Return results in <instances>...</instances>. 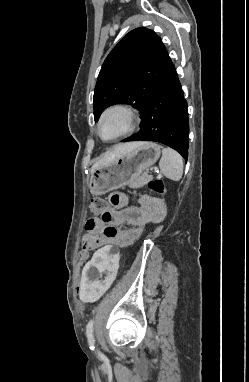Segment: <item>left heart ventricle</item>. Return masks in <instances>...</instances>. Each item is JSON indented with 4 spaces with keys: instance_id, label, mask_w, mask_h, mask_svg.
<instances>
[{
    "instance_id": "1",
    "label": "left heart ventricle",
    "mask_w": 249,
    "mask_h": 382,
    "mask_svg": "<svg viewBox=\"0 0 249 382\" xmlns=\"http://www.w3.org/2000/svg\"><path fill=\"white\" fill-rule=\"evenodd\" d=\"M125 128V121L122 115L112 114L102 123V134L104 137H112L122 132Z\"/></svg>"
}]
</instances>
